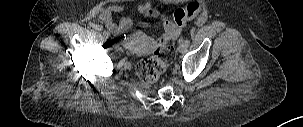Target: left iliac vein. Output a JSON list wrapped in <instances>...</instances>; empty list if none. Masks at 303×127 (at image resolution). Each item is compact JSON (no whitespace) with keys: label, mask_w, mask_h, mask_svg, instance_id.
I'll use <instances>...</instances> for the list:
<instances>
[{"label":"left iliac vein","mask_w":303,"mask_h":127,"mask_svg":"<svg viewBox=\"0 0 303 127\" xmlns=\"http://www.w3.org/2000/svg\"><path fill=\"white\" fill-rule=\"evenodd\" d=\"M188 45L184 39H180L178 42V50L181 53H184L187 50Z\"/></svg>","instance_id":"obj_1"}]
</instances>
